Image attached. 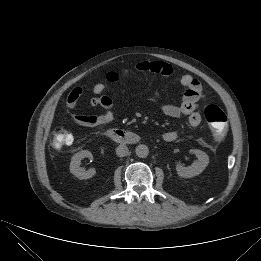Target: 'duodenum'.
Segmentation results:
<instances>
[{"mask_svg": "<svg viewBox=\"0 0 261 261\" xmlns=\"http://www.w3.org/2000/svg\"><path fill=\"white\" fill-rule=\"evenodd\" d=\"M107 136L122 144H134L139 141V136L136 133L121 128L109 129L107 131Z\"/></svg>", "mask_w": 261, "mask_h": 261, "instance_id": "duodenum-1", "label": "duodenum"}]
</instances>
